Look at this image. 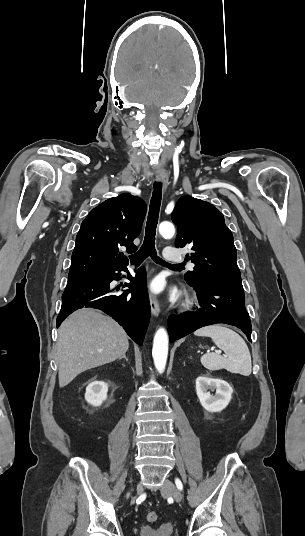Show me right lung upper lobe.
<instances>
[{"label": "right lung upper lobe", "mask_w": 305, "mask_h": 536, "mask_svg": "<svg viewBox=\"0 0 305 536\" xmlns=\"http://www.w3.org/2000/svg\"><path fill=\"white\" fill-rule=\"evenodd\" d=\"M145 213V202L128 193L92 209L77 234L68 277L127 266L128 259L119 248L126 247L128 253L137 250L133 240L141 231Z\"/></svg>", "instance_id": "right-lung-upper-lobe-1"}]
</instances>
